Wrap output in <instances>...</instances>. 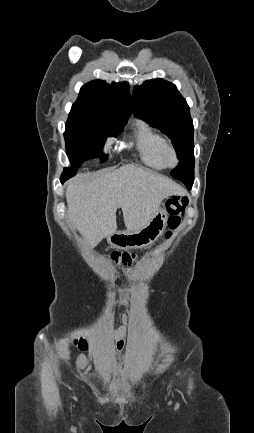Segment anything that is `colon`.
<instances>
[{
  "instance_id": "5ec220e1",
  "label": "colon",
  "mask_w": 254,
  "mask_h": 433,
  "mask_svg": "<svg viewBox=\"0 0 254 433\" xmlns=\"http://www.w3.org/2000/svg\"><path fill=\"white\" fill-rule=\"evenodd\" d=\"M187 204V197L180 195H173L167 200L168 226L170 230H174L180 225ZM111 259L118 265L131 266L137 261L138 256L131 252H113Z\"/></svg>"
}]
</instances>
